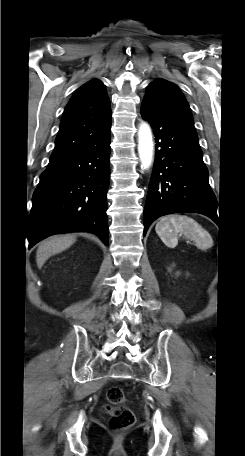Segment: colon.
<instances>
[{"instance_id": "colon-1", "label": "colon", "mask_w": 245, "mask_h": 456, "mask_svg": "<svg viewBox=\"0 0 245 456\" xmlns=\"http://www.w3.org/2000/svg\"><path fill=\"white\" fill-rule=\"evenodd\" d=\"M108 404L105 411L110 415L109 425L114 431H123L132 427L136 421L134 412L124 405L125 395L121 388L111 387L107 390Z\"/></svg>"}]
</instances>
